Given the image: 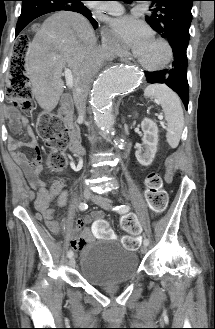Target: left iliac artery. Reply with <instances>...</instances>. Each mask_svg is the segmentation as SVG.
I'll return each instance as SVG.
<instances>
[{"label": "left iliac artery", "mask_w": 215, "mask_h": 329, "mask_svg": "<svg viewBox=\"0 0 215 329\" xmlns=\"http://www.w3.org/2000/svg\"><path fill=\"white\" fill-rule=\"evenodd\" d=\"M129 209H130V207L128 205H120V206H116L113 208V210L118 212L119 214L127 213L129 211ZM144 244L148 246L149 239H145Z\"/></svg>", "instance_id": "1"}]
</instances>
